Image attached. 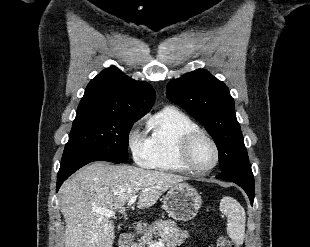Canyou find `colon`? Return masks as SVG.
Returning <instances> with one entry per match:
<instances>
[{
	"instance_id": "5ec220e1",
	"label": "colon",
	"mask_w": 310,
	"mask_h": 247,
	"mask_svg": "<svg viewBox=\"0 0 310 247\" xmlns=\"http://www.w3.org/2000/svg\"><path fill=\"white\" fill-rule=\"evenodd\" d=\"M218 247H237V245L230 238L222 236L218 240Z\"/></svg>"
}]
</instances>
